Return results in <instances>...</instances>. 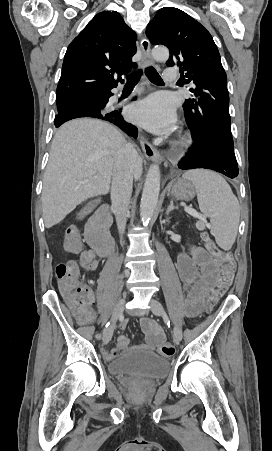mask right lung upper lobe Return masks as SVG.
I'll return each instance as SVG.
<instances>
[{
    "instance_id": "obj_1",
    "label": "right lung upper lobe",
    "mask_w": 272,
    "mask_h": 451,
    "mask_svg": "<svg viewBox=\"0 0 272 451\" xmlns=\"http://www.w3.org/2000/svg\"><path fill=\"white\" fill-rule=\"evenodd\" d=\"M136 34L116 11L98 13L67 48L56 98L107 91L136 68Z\"/></svg>"
}]
</instances>
